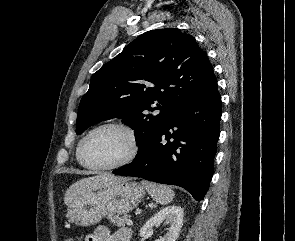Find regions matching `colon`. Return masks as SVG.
Segmentation results:
<instances>
[{"label": "colon", "instance_id": "colon-1", "mask_svg": "<svg viewBox=\"0 0 295 241\" xmlns=\"http://www.w3.org/2000/svg\"><path fill=\"white\" fill-rule=\"evenodd\" d=\"M66 241H73L72 239H67Z\"/></svg>", "mask_w": 295, "mask_h": 241}]
</instances>
